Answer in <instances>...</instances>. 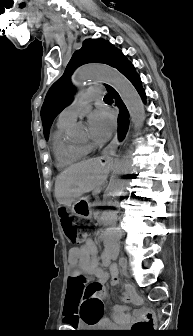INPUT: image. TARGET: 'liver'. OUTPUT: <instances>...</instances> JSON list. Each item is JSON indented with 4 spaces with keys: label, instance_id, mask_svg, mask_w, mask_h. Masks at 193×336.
I'll return each instance as SVG.
<instances>
[{
    "label": "liver",
    "instance_id": "liver-1",
    "mask_svg": "<svg viewBox=\"0 0 193 336\" xmlns=\"http://www.w3.org/2000/svg\"><path fill=\"white\" fill-rule=\"evenodd\" d=\"M110 159L91 158L61 172L55 181V197L60 205L70 207L83 194L95 191L107 180Z\"/></svg>",
    "mask_w": 193,
    "mask_h": 336
}]
</instances>
